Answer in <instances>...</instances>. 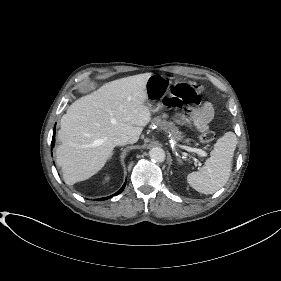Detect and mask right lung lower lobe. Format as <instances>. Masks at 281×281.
I'll use <instances>...</instances> for the list:
<instances>
[{"label":"right lung lower lobe","mask_w":281,"mask_h":281,"mask_svg":"<svg viewBox=\"0 0 281 281\" xmlns=\"http://www.w3.org/2000/svg\"><path fill=\"white\" fill-rule=\"evenodd\" d=\"M55 129H54V133H53V138H52V143H51V147L53 148L54 147V142H55ZM125 185H126V182L124 183V185L122 186V188L116 192L115 194L109 196V197H105V198H101V199H98V200H104V199H109L111 197H113L114 195H118L119 193H121L123 191V189L125 188Z\"/></svg>","instance_id":"1"}]
</instances>
